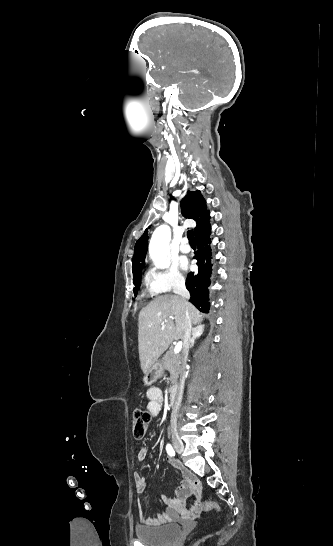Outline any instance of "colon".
I'll use <instances>...</instances> for the list:
<instances>
[{
  "mask_svg": "<svg viewBox=\"0 0 333 546\" xmlns=\"http://www.w3.org/2000/svg\"><path fill=\"white\" fill-rule=\"evenodd\" d=\"M150 423V414L143 410H136L132 416V432L135 439H142L147 431L148 425ZM203 508L206 511L209 510H220L219 505L211 500L205 501Z\"/></svg>",
  "mask_w": 333,
  "mask_h": 546,
  "instance_id": "1",
  "label": "colon"
}]
</instances>
